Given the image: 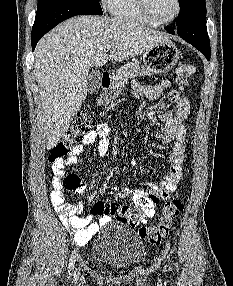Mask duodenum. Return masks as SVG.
Segmentation results:
<instances>
[{"mask_svg":"<svg viewBox=\"0 0 233 286\" xmlns=\"http://www.w3.org/2000/svg\"><path fill=\"white\" fill-rule=\"evenodd\" d=\"M110 84H111V74H110V72L105 71L101 74L100 86L103 89H107V88H109Z\"/></svg>","mask_w":233,"mask_h":286,"instance_id":"1","label":"duodenum"}]
</instances>
